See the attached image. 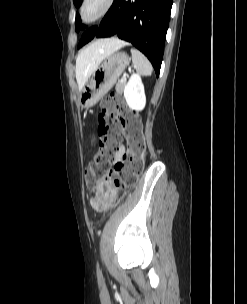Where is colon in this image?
I'll list each match as a JSON object with an SVG mask.
<instances>
[{"mask_svg":"<svg viewBox=\"0 0 247 304\" xmlns=\"http://www.w3.org/2000/svg\"><path fill=\"white\" fill-rule=\"evenodd\" d=\"M97 131L99 150L85 171V183L88 189H97L93 204L103 208L115 203L119 191L136 184L145 164L146 143L139 115L129 110L116 93L103 99ZM122 135L127 140V150L110 169Z\"/></svg>","mask_w":247,"mask_h":304,"instance_id":"5ec220e1","label":"colon"}]
</instances>
